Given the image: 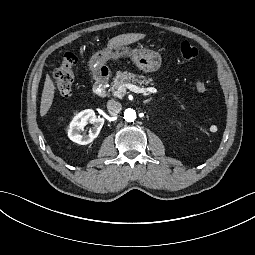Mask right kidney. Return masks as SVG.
Here are the masks:
<instances>
[{
	"label": "right kidney",
	"instance_id": "1",
	"mask_svg": "<svg viewBox=\"0 0 255 255\" xmlns=\"http://www.w3.org/2000/svg\"><path fill=\"white\" fill-rule=\"evenodd\" d=\"M88 123L93 124V128L90 129L89 134H81ZM103 124V118H97L92 109H86L72 119L68 129V137L78 144H89L98 136Z\"/></svg>",
	"mask_w": 255,
	"mask_h": 255
}]
</instances>
